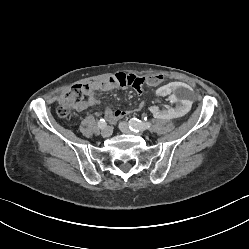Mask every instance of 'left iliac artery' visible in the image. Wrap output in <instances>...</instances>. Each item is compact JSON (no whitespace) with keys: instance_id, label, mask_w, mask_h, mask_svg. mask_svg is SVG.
<instances>
[{"instance_id":"44dca946","label":"left iliac artery","mask_w":249,"mask_h":249,"mask_svg":"<svg viewBox=\"0 0 249 249\" xmlns=\"http://www.w3.org/2000/svg\"><path fill=\"white\" fill-rule=\"evenodd\" d=\"M150 122H142L136 118H133L129 121V128L134 132L144 131L150 128Z\"/></svg>"}]
</instances>
